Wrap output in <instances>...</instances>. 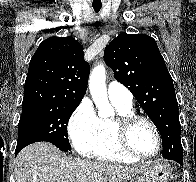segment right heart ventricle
Returning <instances> with one entry per match:
<instances>
[{"label":"right heart ventricle","mask_w":196,"mask_h":182,"mask_svg":"<svg viewBox=\"0 0 196 182\" xmlns=\"http://www.w3.org/2000/svg\"><path fill=\"white\" fill-rule=\"evenodd\" d=\"M112 104L118 114L134 113L132 104L127 105L115 101H112ZM88 155L96 160L112 163L134 164L139 161L125 154L118 147L111 119H99L97 140Z\"/></svg>","instance_id":"obj_1"}]
</instances>
